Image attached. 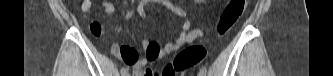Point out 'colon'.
Listing matches in <instances>:
<instances>
[{"label": "colon", "instance_id": "obj_1", "mask_svg": "<svg viewBox=\"0 0 333 76\" xmlns=\"http://www.w3.org/2000/svg\"><path fill=\"white\" fill-rule=\"evenodd\" d=\"M246 0H230L224 11L219 17L216 25V31L219 35H226L234 26L239 17L243 14L246 7ZM206 49L202 45H193L185 48L174 59L166 64L162 72H166V76H175L185 70L198 65L206 56ZM146 76H154L155 70L147 68Z\"/></svg>", "mask_w": 333, "mask_h": 76}]
</instances>
